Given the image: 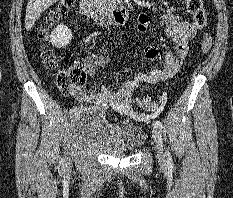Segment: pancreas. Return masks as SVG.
<instances>
[{
  "label": "pancreas",
  "instance_id": "1",
  "mask_svg": "<svg viewBox=\"0 0 233 198\" xmlns=\"http://www.w3.org/2000/svg\"><path fill=\"white\" fill-rule=\"evenodd\" d=\"M96 4L103 7L114 8L122 2V0H93Z\"/></svg>",
  "mask_w": 233,
  "mask_h": 198
}]
</instances>
